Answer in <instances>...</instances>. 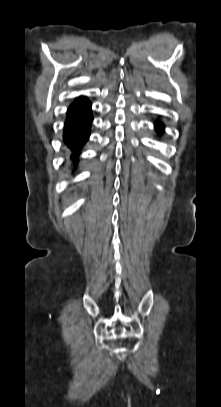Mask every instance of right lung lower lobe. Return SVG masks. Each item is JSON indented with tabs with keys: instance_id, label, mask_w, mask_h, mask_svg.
I'll return each instance as SVG.
<instances>
[{
	"instance_id": "obj_1",
	"label": "right lung lower lobe",
	"mask_w": 221,
	"mask_h": 407,
	"mask_svg": "<svg viewBox=\"0 0 221 407\" xmlns=\"http://www.w3.org/2000/svg\"><path fill=\"white\" fill-rule=\"evenodd\" d=\"M93 120L91 103L86 98L77 99L68 109L64 127V141L74 152L73 160L79 155V150L90 136V127Z\"/></svg>"
}]
</instances>
